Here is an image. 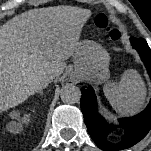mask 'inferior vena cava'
Returning a JSON list of instances; mask_svg holds the SVG:
<instances>
[{
  "label": "inferior vena cava",
  "instance_id": "obj_1",
  "mask_svg": "<svg viewBox=\"0 0 151 151\" xmlns=\"http://www.w3.org/2000/svg\"><path fill=\"white\" fill-rule=\"evenodd\" d=\"M52 73H53L54 75H57V74H58V71H57V70H53ZM49 79H52V76H50ZM45 86H46V85H45Z\"/></svg>",
  "mask_w": 151,
  "mask_h": 151
}]
</instances>
